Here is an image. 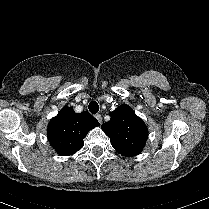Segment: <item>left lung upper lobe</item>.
I'll return each instance as SVG.
<instances>
[{
  "mask_svg": "<svg viewBox=\"0 0 209 209\" xmlns=\"http://www.w3.org/2000/svg\"><path fill=\"white\" fill-rule=\"evenodd\" d=\"M101 128L116 151L126 157L138 155L148 137L145 123L127 104L112 111L110 121L103 123Z\"/></svg>",
  "mask_w": 209,
  "mask_h": 209,
  "instance_id": "1",
  "label": "left lung upper lobe"
}]
</instances>
